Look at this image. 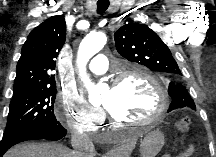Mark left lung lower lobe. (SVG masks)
<instances>
[{"label":"left lung lower lobe","mask_w":216,"mask_h":157,"mask_svg":"<svg viewBox=\"0 0 216 157\" xmlns=\"http://www.w3.org/2000/svg\"><path fill=\"white\" fill-rule=\"evenodd\" d=\"M183 107H184V104L175 102V103H172V104L170 105L169 111L175 110V109H178V108H183Z\"/></svg>","instance_id":"0a47b994"}]
</instances>
